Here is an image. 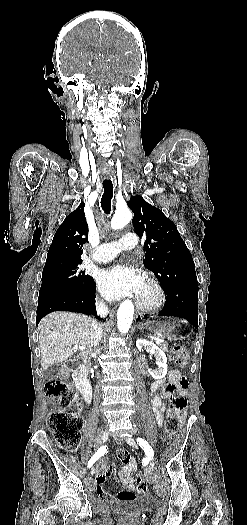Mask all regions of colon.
<instances>
[{"mask_svg": "<svg viewBox=\"0 0 247 525\" xmlns=\"http://www.w3.org/2000/svg\"><path fill=\"white\" fill-rule=\"evenodd\" d=\"M171 357L173 362L184 367L188 360L186 350L178 344L172 346ZM181 386L187 385V379L182 378ZM45 394L48 398L57 401L65 409L50 412L48 427L52 431L57 443L68 451L76 450L80 445L83 419L76 411L78 396L75 390L62 379H52L45 384ZM187 405V398L183 394L171 396V406L166 414L165 432L168 438H173L178 429L177 411H182ZM136 485L139 494H145L147 483L141 473L136 475Z\"/></svg>", "mask_w": 247, "mask_h": 525, "instance_id": "5ec220e1", "label": "colon"}]
</instances>
